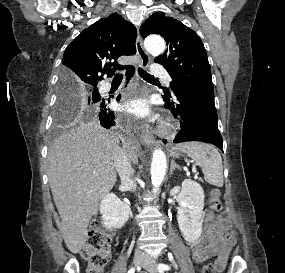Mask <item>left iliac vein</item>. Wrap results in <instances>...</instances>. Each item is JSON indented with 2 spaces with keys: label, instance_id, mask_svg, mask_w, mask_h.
I'll use <instances>...</instances> for the list:
<instances>
[{
  "label": "left iliac vein",
  "instance_id": "obj_1",
  "mask_svg": "<svg viewBox=\"0 0 285 273\" xmlns=\"http://www.w3.org/2000/svg\"><path fill=\"white\" fill-rule=\"evenodd\" d=\"M142 267L149 273H157L155 264H153L147 257L143 260Z\"/></svg>",
  "mask_w": 285,
  "mask_h": 273
}]
</instances>
